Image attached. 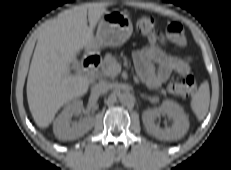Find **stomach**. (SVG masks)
I'll use <instances>...</instances> for the list:
<instances>
[{
    "label": "stomach",
    "instance_id": "stomach-1",
    "mask_svg": "<svg viewBox=\"0 0 231 170\" xmlns=\"http://www.w3.org/2000/svg\"><path fill=\"white\" fill-rule=\"evenodd\" d=\"M133 32L129 16L122 12H106L100 19L92 47L123 45Z\"/></svg>",
    "mask_w": 231,
    "mask_h": 170
}]
</instances>
